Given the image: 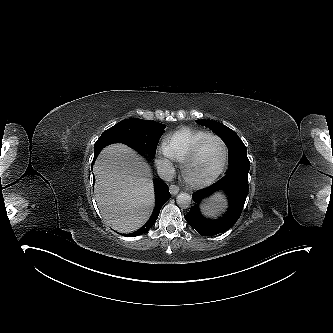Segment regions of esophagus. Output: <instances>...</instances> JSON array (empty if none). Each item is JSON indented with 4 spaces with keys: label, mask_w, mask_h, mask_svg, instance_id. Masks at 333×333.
<instances>
[{
    "label": "esophagus",
    "mask_w": 333,
    "mask_h": 333,
    "mask_svg": "<svg viewBox=\"0 0 333 333\" xmlns=\"http://www.w3.org/2000/svg\"><path fill=\"white\" fill-rule=\"evenodd\" d=\"M170 193L175 196L179 192V187L176 185H170L169 187Z\"/></svg>",
    "instance_id": "esophagus-1"
}]
</instances>
